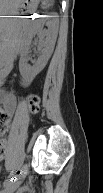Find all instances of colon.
<instances>
[{
  "label": "colon",
  "instance_id": "1",
  "mask_svg": "<svg viewBox=\"0 0 103 193\" xmlns=\"http://www.w3.org/2000/svg\"><path fill=\"white\" fill-rule=\"evenodd\" d=\"M27 101H28V106H29V110L32 113H36L38 111L39 108V97L35 94H30L27 97ZM9 121V117L7 116H3L2 115V129H1V133L4 136L7 132V124ZM6 149H7V142L5 138H2L0 141V154L4 155L6 153Z\"/></svg>",
  "mask_w": 103,
  "mask_h": 193
}]
</instances>
